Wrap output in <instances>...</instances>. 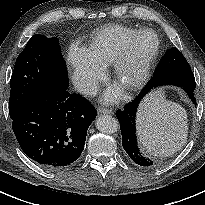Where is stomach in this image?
Listing matches in <instances>:
<instances>
[{"label": "stomach", "instance_id": "stomach-1", "mask_svg": "<svg viewBox=\"0 0 205 205\" xmlns=\"http://www.w3.org/2000/svg\"><path fill=\"white\" fill-rule=\"evenodd\" d=\"M157 96H159V94H153V95H151L150 97H157ZM150 97H149V98H150ZM147 99H148V98H147ZM147 99H146V100H147Z\"/></svg>", "mask_w": 205, "mask_h": 205}]
</instances>
